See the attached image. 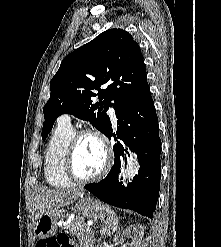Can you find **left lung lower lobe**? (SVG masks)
<instances>
[{
    "instance_id": "left-lung-lower-lobe-1",
    "label": "left lung lower lobe",
    "mask_w": 221,
    "mask_h": 247,
    "mask_svg": "<svg viewBox=\"0 0 221 247\" xmlns=\"http://www.w3.org/2000/svg\"><path fill=\"white\" fill-rule=\"evenodd\" d=\"M117 132L110 125L106 136H114L115 161L108 175L98 183L85 188L100 200L110 205L131 209L152 218L160 188L161 141L158 133V118L152 97L124 104L116 109ZM138 155L140 169L128 187L118 182L121 160L127 162L128 148Z\"/></svg>"
}]
</instances>
